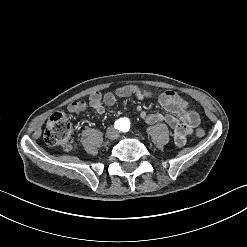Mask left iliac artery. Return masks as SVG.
<instances>
[{
  "label": "left iliac artery",
  "mask_w": 247,
  "mask_h": 247,
  "mask_svg": "<svg viewBox=\"0 0 247 247\" xmlns=\"http://www.w3.org/2000/svg\"><path fill=\"white\" fill-rule=\"evenodd\" d=\"M129 130V122L126 124V126L124 127V131H128Z\"/></svg>",
  "instance_id": "obj_1"
}]
</instances>
